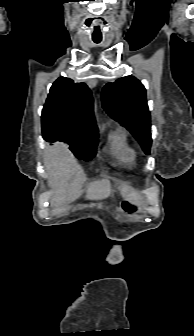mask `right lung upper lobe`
<instances>
[{"mask_svg": "<svg viewBox=\"0 0 194 336\" xmlns=\"http://www.w3.org/2000/svg\"><path fill=\"white\" fill-rule=\"evenodd\" d=\"M92 95L84 83L60 77L50 88L42 110V133L48 142L63 137L97 138L98 129L92 116Z\"/></svg>", "mask_w": 194, "mask_h": 336, "instance_id": "obj_1", "label": "right lung upper lobe"}]
</instances>
